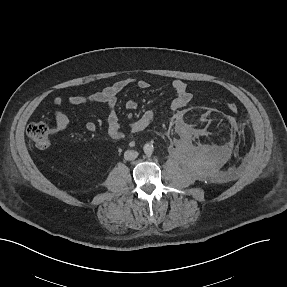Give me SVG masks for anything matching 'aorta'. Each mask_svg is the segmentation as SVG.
<instances>
[{
	"label": "aorta",
	"mask_w": 287,
	"mask_h": 287,
	"mask_svg": "<svg viewBox=\"0 0 287 287\" xmlns=\"http://www.w3.org/2000/svg\"><path fill=\"white\" fill-rule=\"evenodd\" d=\"M143 151L144 153L147 155V156H150L153 151H154V147H153V144L151 143H146L144 146H143Z\"/></svg>",
	"instance_id": "aorta-1"
}]
</instances>
